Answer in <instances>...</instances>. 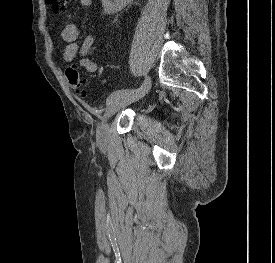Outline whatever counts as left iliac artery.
Returning a JSON list of instances; mask_svg holds the SVG:
<instances>
[{"label": "left iliac artery", "instance_id": "left-iliac-artery-1", "mask_svg": "<svg viewBox=\"0 0 275 263\" xmlns=\"http://www.w3.org/2000/svg\"><path fill=\"white\" fill-rule=\"evenodd\" d=\"M150 85V79L149 77H146L143 84L137 88V89H122V90H116L114 91L108 98H107V104H110L113 100L121 97V96H124V95H127V94H132V93H139V92H142L144 91L148 86Z\"/></svg>", "mask_w": 275, "mask_h": 263}]
</instances>
